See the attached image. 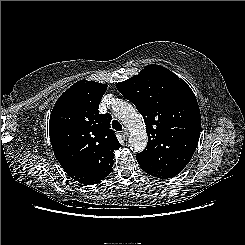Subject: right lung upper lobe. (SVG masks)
Here are the masks:
<instances>
[{
    "mask_svg": "<svg viewBox=\"0 0 245 245\" xmlns=\"http://www.w3.org/2000/svg\"><path fill=\"white\" fill-rule=\"evenodd\" d=\"M106 90L107 84L78 81L59 97L50 115L54 155L63 169L75 170L84 185L103 179L121 146L110 127L111 115L98 111Z\"/></svg>",
    "mask_w": 245,
    "mask_h": 245,
    "instance_id": "obj_1",
    "label": "right lung upper lobe"
}]
</instances>
